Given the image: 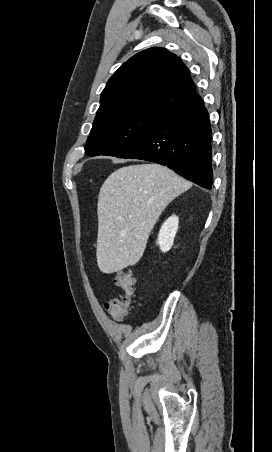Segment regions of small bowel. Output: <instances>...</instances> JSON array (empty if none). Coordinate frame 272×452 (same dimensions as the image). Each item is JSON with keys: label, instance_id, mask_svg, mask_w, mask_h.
<instances>
[{"label": "small bowel", "instance_id": "c3829d8e", "mask_svg": "<svg viewBox=\"0 0 272 452\" xmlns=\"http://www.w3.org/2000/svg\"><path fill=\"white\" fill-rule=\"evenodd\" d=\"M105 308H106V310H107V303L105 304ZM111 314H112L113 317H114L116 320H118V321H122L123 318H124V316H118V315L113 314V313H111Z\"/></svg>", "mask_w": 272, "mask_h": 452}]
</instances>
